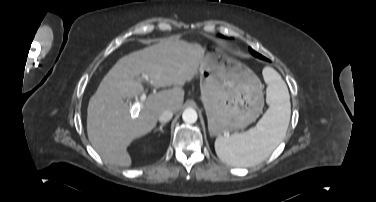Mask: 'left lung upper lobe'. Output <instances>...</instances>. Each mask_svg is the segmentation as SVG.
Segmentation results:
<instances>
[{"label": "left lung upper lobe", "instance_id": "1", "mask_svg": "<svg viewBox=\"0 0 376 202\" xmlns=\"http://www.w3.org/2000/svg\"><path fill=\"white\" fill-rule=\"evenodd\" d=\"M221 36V35H220ZM249 51L252 55L260 58V59H264V60H267L265 57H263L262 55H260L259 53L255 52L252 48H249Z\"/></svg>", "mask_w": 376, "mask_h": 202}]
</instances>
